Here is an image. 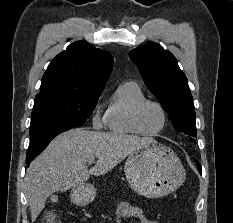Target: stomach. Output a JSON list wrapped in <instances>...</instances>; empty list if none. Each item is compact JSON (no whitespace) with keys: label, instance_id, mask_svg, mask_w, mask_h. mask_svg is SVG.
<instances>
[{"label":"stomach","instance_id":"1","mask_svg":"<svg viewBox=\"0 0 233 223\" xmlns=\"http://www.w3.org/2000/svg\"><path fill=\"white\" fill-rule=\"evenodd\" d=\"M124 173L131 189L143 197L167 195L182 185L186 177L179 157L163 143H144L141 149L130 153ZM96 195L93 183H81L70 191L71 201L76 205H89Z\"/></svg>","mask_w":233,"mask_h":223}]
</instances>
